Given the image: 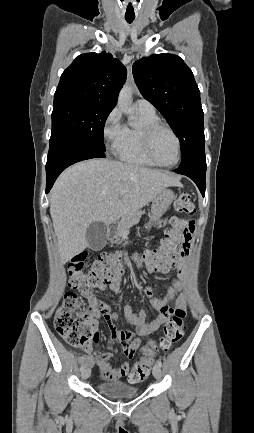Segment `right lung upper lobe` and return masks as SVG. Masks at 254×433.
<instances>
[{
  "mask_svg": "<svg viewBox=\"0 0 254 433\" xmlns=\"http://www.w3.org/2000/svg\"><path fill=\"white\" fill-rule=\"evenodd\" d=\"M126 75L124 65L111 54H81L61 75L54 105L89 102L114 108Z\"/></svg>",
  "mask_w": 254,
  "mask_h": 433,
  "instance_id": "right-lung-upper-lobe-1",
  "label": "right lung upper lobe"
}]
</instances>
